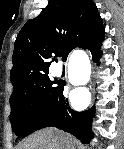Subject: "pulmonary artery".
Here are the masks:
<instances>
[{"label":"pulmonary artery","mask_w":124,"mask_h":149,"mask_svg":"<svg viewBox=\"0 0 124 149\" xmlns=\"http://www.w3.org/2000/svg\"><path fill=\"white\" fill-rule=\"evenodd\" d=\"M55 74H56L57 76H60V75H61V70H56Z\"/></svg>","instance_id":"1"}]
</instances>
